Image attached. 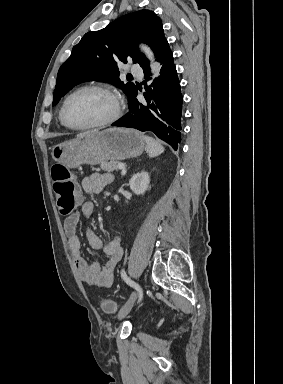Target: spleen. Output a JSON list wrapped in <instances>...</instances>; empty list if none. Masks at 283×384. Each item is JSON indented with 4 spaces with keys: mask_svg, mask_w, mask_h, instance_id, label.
<instances>
[{
    "mask_svg": "<svg viewBox=\"0 0 283 384\" xmlns=\"http://www.w3.org/2000/svg\"><path fill=\"white\" fill-rule=\"evenodd\" d=\"M144 140L146 142V152L150 158H155V156L163 154L164 148L157 140H153V138H149V136H144Z\"/></svg>",
    "mask_w": 283,
    "mask_h": 384,
    "instance_id": "obj_1",
    "label": "spleen"
}]
</instances>
